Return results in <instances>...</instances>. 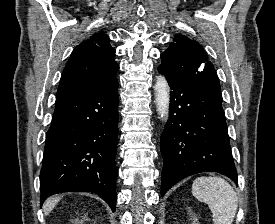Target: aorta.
I'll use <instances>...</instances> for the list:
<instances>
[{
    "label": "aorta",
    "mask_w": 275,
    "mask_h": 224,
    "mask_svg": "<svg viewBox=\"0 0 275 224\" xmlns=\"http://www.w3.org/2000/svg\"><path fill=\"white\" fill-rule=\"evenodd\" d=\"M154 90L157 112L160 118H165L169 111L170 95L168 82L164 76H159L157 78Z\"/></svg>",
    "instance_id": "obj_1"
}]
</instances>
